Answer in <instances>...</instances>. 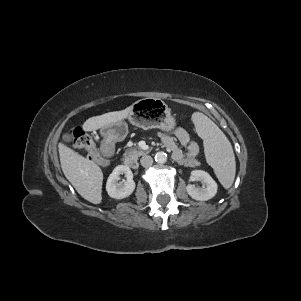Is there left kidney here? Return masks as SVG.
<instances>
[{
    "label": "left kidney",
    "mask_w": 301,
    "mask_h": 301,
    "mask_svg": "<svg viewBox=\"0 0 301 301\" xmlns=\"http://www.w3.org/2000/svg\"><path fill=\"white\" fill-rule=\"evenodd\" d=\"M191 176L205 184L202 188L195 185H187L186 190L191 198L198 201H207L213 198L217 193V183L213 178L203 170H193Z\"/></svg>",
    "instance_id": "5707ae66"
}]
</instances>
